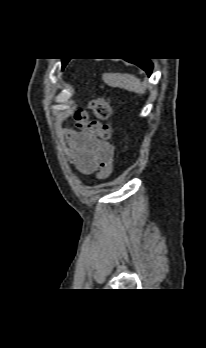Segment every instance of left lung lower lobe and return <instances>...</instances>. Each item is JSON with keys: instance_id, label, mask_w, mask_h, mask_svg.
<instances>
[{"instance_id": "obj_1", "label": "left lung lower lobe", "mask_w": 206, "mask_h": 348, "mask_svg": "<svg viewBox=\"0 0 206 348\" xmlns=\"http://www.w3.org/2000/svg\"><path fill=\"white\" fill-rule=\"evenodd\" d=\"M127 61L138 65L140 68H142L143 70L147 72L148 76L151 75L153 65L149 59H137V60H127Z\"/></svg>"}]
</instances>
